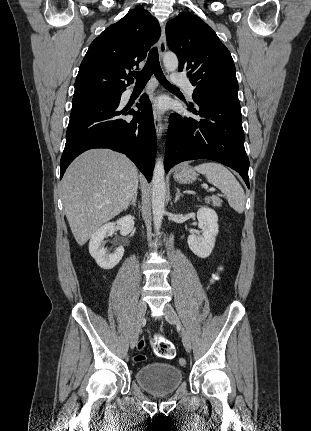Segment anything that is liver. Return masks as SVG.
I'll list each match as a JSON object with an SVG mask.
<instances>
[{"mask_svg": "<svg viewBox=\"0 0 311 431\" xmlns=\"http://www.w3.org/2000/svg\"><path fill=\"white\" fill-rule=\"evenodd\" d=\"M138 170L124 154L88 150L70 164L62 180V200L79 245L99 225L121 214L137 194Z\"/></svg>", "mask_w": 311, "mask_h": 431, "instance_id": "obj_1", "label": "liver"}]
</instances>
